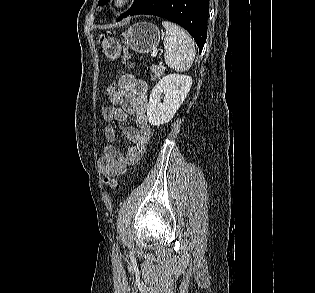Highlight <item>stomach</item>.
I'll list each match as a JSON object with an SVG mask.
<instances>
[{
	"label": "stomach",
	"instance_id": "obj_1",
	"mask_svg": "<svg viewBox=\"0 0 315 293\" xmlns=\"http://www.w3.org/2000/svg\"><path fill=\"white\" fill-rule=\"evenodd\" d=\"M160 31L151 23H137L122 34L120 40L104 38L101 45L107 57L114 60L120 56L122 44L135 52L146 54L152 52L160 42Z\"/></svg>",
	"mask_w": 315,
	"mask_h": 293
}]
</instances>
